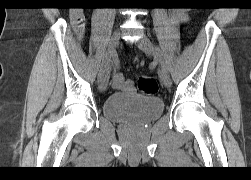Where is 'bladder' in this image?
<instances>
[{"mask_svg": "<svg viewBox=\"0 0 251 180\" xmlns=\"http://www.w3.org/2000/svg\"><path fill=\"white\" fill-rule=\"evenodd\" d=\"M164 103L156 96L110 95L103 104V115L119 123H147L163 112Z\"/></svg>", "mask_w": 251, "mask_h": 180, "instance_id": "bladder-1", "label": "bladder"}]
</instances>
